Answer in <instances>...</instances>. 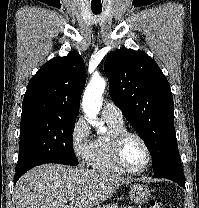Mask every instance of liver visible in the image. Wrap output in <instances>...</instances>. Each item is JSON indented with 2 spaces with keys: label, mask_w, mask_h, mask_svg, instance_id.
<instances>
[{
  "label": "liver",
  "mask_w": 199,
  "mask_h": 208,
  "mask_svg": "<svg viewBox=\"0 0 199 208\" xmlns=\"http://www.w3.org/2000/svg\"><path fill=\"white\" fill-rule=\"evenodd\" d=\"M128 183L107 171L44 164L22 176L14 198L16 208H91Z\"/></svg>",
  "instance_id": "liver-1"
}]
</instances>
